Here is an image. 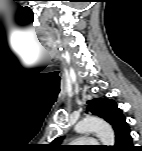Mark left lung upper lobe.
Masks as SVG:
<instances>
[{"mask_svg": "<svg viewBox=\"0 0 142 151\" xmlns=\"http://www.w3.org/2000/svg\"><path fill=\"white\" fill-rule=\"evenodd\" d=\"M87 103V109L93 115L99 116L111 124L114 129L116 138L127 128H129L121 109L118 108L114 100L107 98H95L91 101H88ZM62 139L63 137L55 139L51 145L57 148H61L62 146H59L58 143Z\"/></svg>", "mask_w": 142, "mask_h": 151, "instance_id": "5c2ea615", "label": "left lung upper lobe"}]
</instances>
